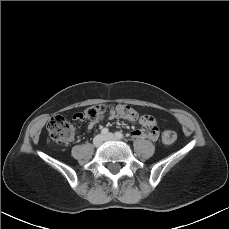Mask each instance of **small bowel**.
<instances>
[{"mask_svg":"<svg viewBox=\"0 0 229 229\" xmlns=\"http://www.w3.org/2000/svg\"><path fill=\"white\" fill-rule=\"evenodd\" d=\"M117 114L113 111L110 113L109 118L116 117ZM97 121H90L88 123V128L92 129L96 125ZM138 123L149 127V130L145 129H136L134 130L131 135L135 138H147L152 141H155L158 137V133L156 130V123L152 116L150 115H142L138 118Z\"/></svg>","mask_w":229,"mask_h":229,"instance_id":"c3829d8e","label":"small bowel"}]
</instances>
